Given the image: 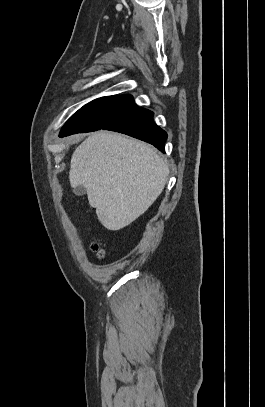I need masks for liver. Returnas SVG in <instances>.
I'll list each match as a JSON object with an SVG mask.
<instances>
[{"mask_svg":"<svg viewBox=\"0 0 265 407\" xmlns=\"http://www.w3.org/2000/svg\"><path fill=\"white\" fill-rule=\"evenodd\" d=\"M166 162L147 143L98 131L74 151L70 185L84 186L98 220L117 231L136 220L168 182Z\"/></svg>","mask_w":265,"mask_h":407,"instance_id":"obj_1","label":"liver"}]
</instances>
